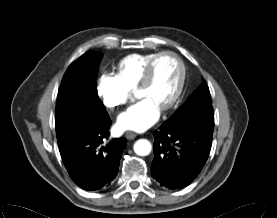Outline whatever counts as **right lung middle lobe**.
Returning <instances> with one entry per match:
<instances>
[{
  "instance_id": "right-lung-middle-lobe-1",
  "label": "right lung middle lobe",
  "mask_w": 277,
  "mask_h": 218,
  "mask_svg": "<svg viewBox=\"0 0 277 218\" xmlns=\"http://www.w3.org/2000/svg\"><path fill=\"white\" fill-rule=\"evenodd\" d=\"M101 55L99 52H86L69 66L63 77L55 114L60 150L108 117L95 83Z\"/></svg>"
}]
</instances>
